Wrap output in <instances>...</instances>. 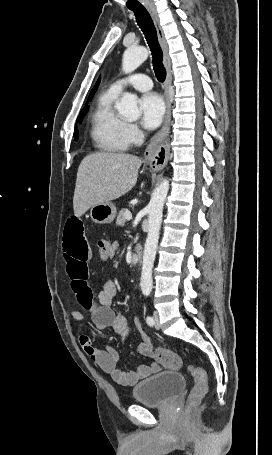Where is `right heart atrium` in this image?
<instances>
[{"mask_svg":"<svg viewBox=\"0 0 272 455\" xmlns=\"http://www.w3.org/2000/svg\"><path fill=\"white\" fill-rule=\"evenodd\" d=\"M126 133L130 143L132 144H137L143 139L142 131L135 124L127 123Z\"/></svg>","mask_w":272,"mask_h":455,"instance_id":"1","label":"right heart atrium"}]
</instances>
